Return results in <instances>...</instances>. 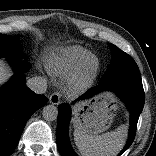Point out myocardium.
Wrapping results in <instances>:
<instances>
[{
	"mask_svg": "<svg viewBox=\"0 0 156 156\" xmlns=\"http://www.w3.org/2000/svg\"><path fill=\"white\" fill-rule=\"evenodd\" d=\"M99 73V62L82 63L79 68L68 78L66 91L70 95H77L90 88Z\"/></svg>",
	"mask_w": 156,
	"mask_h": 156,
	"instance_id": "1",
	"label": "myocardium"
}]
</instances>
